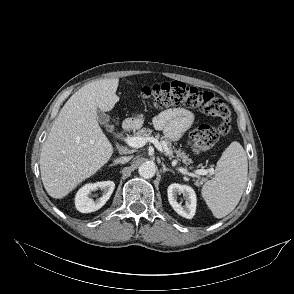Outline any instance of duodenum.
<instances>
[{"label": "duodenum", "instance_id": "410a0bca", "mask_svg": "<svg viewBox=\"0 0 294 294\" xmlns=\"http://www.w3.org/2000/svg\"><path fill=\"white\" fill-rule=\"evenodd\" d=\"M122 127L125 131L129 132L135 127V122L132 119L124 120Z\"/></svg>", "mask_w": 294, "mask_h": 294}]
</instances>
